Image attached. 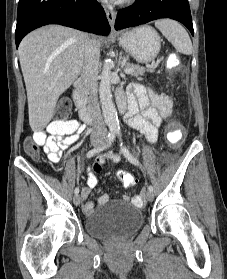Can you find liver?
<instances>
[{
    "label": "liver",
    "mask_w": 227,
    "mask_h": 279,
    "mask_svg": "<svg viewBox=\"0 0 227 279\" xmlns=\"http://www.w3.org/2000/svg\"><path fill=\"white\" fill-rule=\"evenodd\" d=\"M89 41L86 33L60 25L37 29L21 41L18 53L34 132L46 127L58 98L79 77Z\"/></svg>",
    "instance_id": "liver-1"
}]
</instances>
